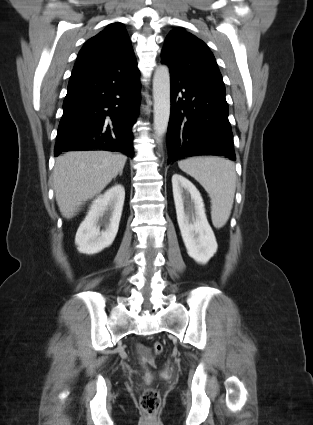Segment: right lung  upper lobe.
<instances>
[{"instance_id": "obj_1", "label": "right lung upper lobe", "mask_w": 313, "mask_h": 425, "mask_svg": "<svg viewBox=\"0 0 313 425\" xmlns=\"http://www.w3.org/2000/svg\"><path fill=\"white\" fill-rule=\"evenodd\" d=\"M136 65L126 29L122 23L115 22L85 43L78 54L74 69L105 67L131 69Z\"/></svg>"}]
</instances>
